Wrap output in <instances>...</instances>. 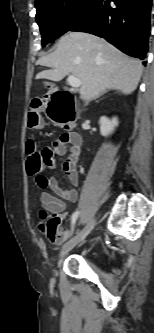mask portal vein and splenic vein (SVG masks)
<instances>
[{"label":"portal vein and splenic vein","instance_id":"18ae733b","mask_svg":"<svg viewBox=\"0 0 154 333\" xmlns=\"http://www.w3.org/2000/svg\"><path fill=\"white\" fill-rule=\"evenodd\" d=\"M67 81H68L69 85L73 88H78L81 86L80 79H78L77 77H75L73 75H69L67 78Z\"/></svg>","mask_w":154,"mask_h":333}]
</instances>
